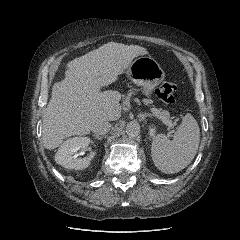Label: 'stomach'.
<instances>
[{"label": "stomach", "instance_id": "stomach-1", "mask_svg": "<svg viewBox=\"0 0 240 240\" xmlns=\"http://www.w3.org/2000/svg\"><path fill=\"white\" fill-rule=\"evenodd\" d=\"M127 76L142 87L145 96L150 97L154 89L164 80L165 72L160 64L150 56L134 59L126 71Z\"/></svg>", "mask_w": 240, "mask_h": 240}]
</instances>
